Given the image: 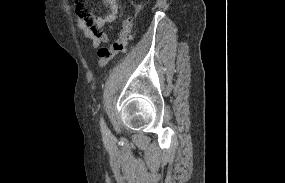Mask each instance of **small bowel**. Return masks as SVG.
Masks as SVG:
<instances>
[{"instance_id": "obj_1", "label": "small bowel", "mask_w": 285, "mask_h": 183, "mask_svg": "<svg viewBox=\"0 0 285 183\" xmlns=\"http://www.w3.org/2000/svg\"><path fill=\"white\" fill-rule=\"evenodd\" d=\"M108 8V13L104 16H94L85 6L84 2L77 0L75 22L84 36L91 40L93 48L97 49L102 44L109 42V35L103 31L105 27L118 18L120 7L117 0H103Z\"/></svg>"}]
</instances>
